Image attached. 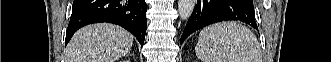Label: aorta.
Listing matches in <instances>:
<instances>
[{
    "label": "aorta",
    "mask_w": 331,
    "mask_h": 62,
    "mask_svg": "<svg viewBox=\"0 0 331 62\" xmlns=\"http://www.w3.org/2000/svg\"><path fill=\"white\" fill-rule=\"evenodd\" d=\"M196 0H179L178 1V10H179V14H180V18L182 20H187L193 10L194 7L196 5Z\"/></svg>",
    "instance_id": "1"
}]
</instances>
